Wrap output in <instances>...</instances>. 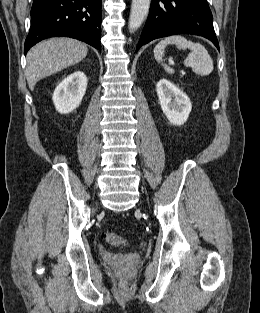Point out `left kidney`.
I'll return each instance as SVG.
<instances>
[{
  "label": "left kidney",
  "mask_w": 260,
  "mask_h": 313,
  "mask_svg": "<svg viewBox=\"0 0 260 313\" xmlns=\"http://www.w3.org/2000/svg\"><path fill=\"white\" fill-rule=\"evenodd\" d=\"M156 91L167 119L177 126L184 124L192 109L188 96L167 79H161L157 83Z\"/></svg>",
  "instance_id": "obj_1"
}]
</instances>
